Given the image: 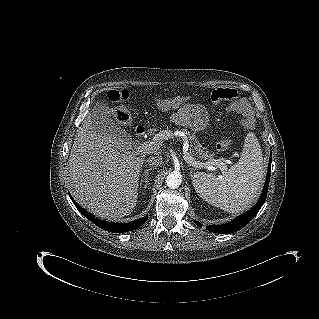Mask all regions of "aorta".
Returning <instances> with one entry per match:
<instances>
[{
	"label": "aorta",
	"mask_w": 319,
	"mask_h": 319,
	"mask_svg": "<svg viewBox=\"0 0 319 319\" xmlns=\"http://www.w3.org/2000/svg\"><path fill=\"white\" fill-rule=\"evenodd\" d=\"M165 181L169 188L175 189L181 185L182 176L179 172L173 171L168 174Z\"/></svg>",
	"instance_id": "aorta-1"
}]
</instances>
